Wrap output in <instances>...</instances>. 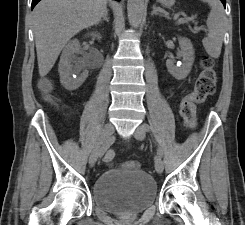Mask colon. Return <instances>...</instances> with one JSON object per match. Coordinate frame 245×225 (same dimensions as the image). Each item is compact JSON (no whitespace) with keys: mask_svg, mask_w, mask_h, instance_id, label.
I'll return each mask as SVG.
<instances>
[{"mask_svg":"<svg viewBox=\"0 0 245 225\" xmlns=\"http://www.w3.org/2000/svg\"><path fill=\"white\" fill-rule=\"evenodd\" d=\"M218 82V73L214 67V61L209 56H204L200 61V73L197 77L193 89L184 95L181 101V116L185 127L193 129L196 126V108L197 105L204 102L211 96ZM40 92L50 99L52 90L51 85H44L39 88ZM114 153L108 152L104 158L106 164L112 163ZM127 165L138 168L139 165L135 161H128Z\"/></svg>","mask_w":245,"mask_h":225,"instance_id":"1","label":"colon"}]
</instances>
